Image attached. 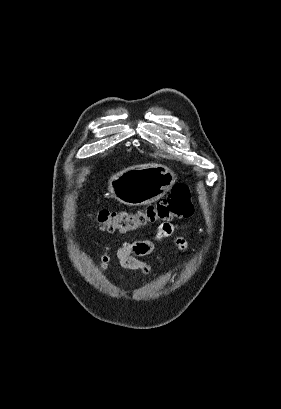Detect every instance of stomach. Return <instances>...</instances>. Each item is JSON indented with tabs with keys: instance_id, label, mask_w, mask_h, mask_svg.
<instances>
[{
	"instance_id": "0dacf381",
	"label": "stomach",
	"mask_w": 281,
	"mask_h": 409,
	"mask_svg": "<svg viewBox=\"0 0 281 409\" xmlns=\"http://www.w3.org/2000/svg\"><path fill=\"white\" fill-rule=\"evenodd\" d=\"M175 174L165 164H138L113 174L109 180L108 190L123 205L137 207L150 205L164 196L175 184Z\"/></svg>"
}]
</instances>
